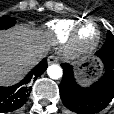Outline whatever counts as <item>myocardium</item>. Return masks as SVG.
I'll return each instance as SVG.
<instances>
[{"label":"myocardium","instance_id":"1","mask_svg":"<svg viewBox=\"0 0 114 114\" xmlns=\"http://www.w3.org/2000/svg\"><path fill=\"white\" fill-rule=\"evenodd\" d=\"M85 25H91L94 29V36L89 40L81 37V30ZM100 32L95 23L85 21L78 24L70 36V47L75 54H85L93 50L99 43Z\"/></svg>","mask_w":114,"mask_h":114}]
</instances>
